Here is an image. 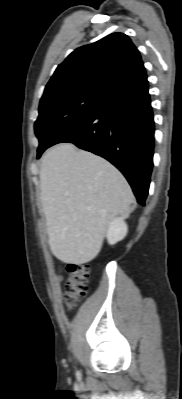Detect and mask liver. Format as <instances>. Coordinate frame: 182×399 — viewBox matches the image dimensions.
I'll return each mask as SVG.
<instances>
[{
    "mask_svg": "<svg viewBox=\"0 0 182 399\" xmlns=\"http://www.w3.org/2000/svg\"><path fill=\"white\" fill-rule=\"evenodd\" d=\"M41 202L52 254L84 264L100 252L109 223L127 218L134 201L123 175L108 161L73 144L49 149L40 170Z\"/></svg>",
    "mask_w": 182,
    "mask_h": 399,
    "instance_id": "6515ba94",
    "label": "liver"
}]
</instances>
